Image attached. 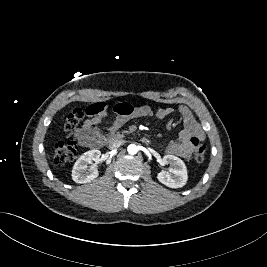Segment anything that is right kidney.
I'll return each instance as SVG.
<instances>
[{"instance_id":"right-kidney-1","label":"right kidney","mask_w":267,"mask_h":267,"mask_svg":"<svg viewBox=\"0 0 267 267\" xmlns=\"http://www.w3.org/2000/svg\"><path fill=\"white\" fill-rule=\"evenodd\" d=\"M101 152L97 149L89 150L81 155L72 169V179L76 183H87L95 179L99 172L96 164L100 162ZM94 163L89 168L88 164Z\"/></svg>"}]
</instances>
